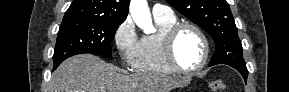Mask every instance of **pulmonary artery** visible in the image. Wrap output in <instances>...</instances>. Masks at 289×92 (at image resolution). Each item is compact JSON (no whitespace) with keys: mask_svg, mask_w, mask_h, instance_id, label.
<instances>
[{"mask_svg":"<svg viewBox=\"0 0 289 92\" xmlns=\"http://www.w3.org/2000/svg\"><path fill=\"white\" fill-rule=\"evenodd\" d=\"M153 15H171L173 14L172 10L161 4H155L152 8Z\"/></svg>","mask_w":289,"mask_h":92,"instance_id":"pulmonary-artery-1","label":"pulmonary artery"}]
</instances>
